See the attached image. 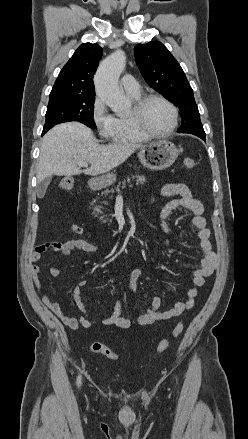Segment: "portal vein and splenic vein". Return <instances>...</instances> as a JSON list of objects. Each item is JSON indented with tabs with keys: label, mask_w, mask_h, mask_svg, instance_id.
I'll return each mask as SVG.
<instances>
[{
	"label": "portal vein and splenic vein",
	"mask_w": 248,
	"mask_h": 439,
	"mask_svg": "<svg viewBox=\"0 0 248 439\" xmlns=\"http://www.w3.org/2000/svg\"><path fill=\"white\" fill-rule=\"evenodd\" d=\"M78 165H79L80 167H87V166H88V163H87V162H79Z\"/></svg>",
	"instance_id": "18ae733b"
}]
</instances>
